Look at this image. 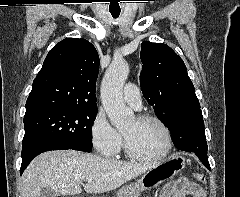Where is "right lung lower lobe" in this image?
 Segmentation results:
<instances>
[{
	"label": "right lung lower lobe",
	"instance_id": "right-lung-lower-lobe-1",
	"mask_svg": "<svg viewBox=\"0 0 240 197\" xmlns=\"http://www.w3.org/2000/svg\"><path fill=\"white\" fill-rule=\"evenodd\" d=\"M62 149L65 150V149H69V148L55 144V143L45 144V145L39 146V147L25 148L22 151V165H21L20 173L22 174L23 171L25 170V168L31 162V160L33 158H35L37 155H39L40 153H43L45 151H50V150H62Z\"/></svg>",
	"mask_w": 240,
	"mask_h": 197
}]
</instances>
